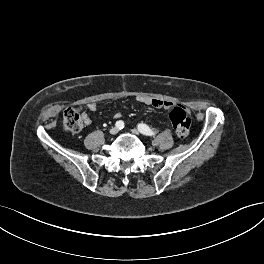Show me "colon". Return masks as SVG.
Returning a JSON list of instances; mask_svg holds the SVG:
<instances>
[{
  "label": "colon",
  "instance_id": "1",
  "mask_svg": "<svg viewBox=\"0 0 264 264\" xmlns=\"http://www.w3.org/2000/svg\"><path fill=\"white\" fill-rule=\"evenodd\" d=\"M83 115L80 108H67L63 114V128L71 133L80 132L83 128ZM169 118L177 136L180 138L187 137L191 127V119L186 109L182 106L174 107L169 113Z\"/></svg>",
  "mask_w": 264,
  "mask_h": 264
}]
</instances>
